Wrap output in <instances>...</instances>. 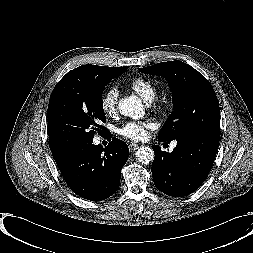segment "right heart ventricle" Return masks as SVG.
Returning <instances> with one entry per match:
<instances>
[{
    "instance_id": "1",
    "label": "right heart ventricle",
    "mask_w": 253,
    "mask_h": 253,
    "mask_svg": "<svg viewBox=\"0 0 253 253\" xmlns=\"http://www.w3.org/2000/svg\"><path fill=\"white\" fill-rule=\"evenodd\" d=\"M130 89L139 95L146 103H151L157 97L156 85L144 78H136L130 83Z\"/></svg>"
}]
</instances>
